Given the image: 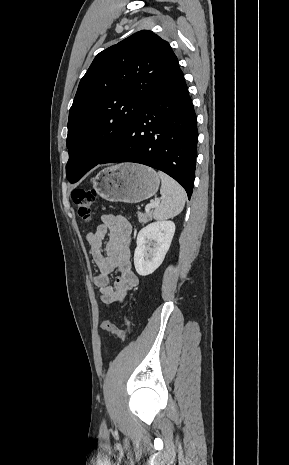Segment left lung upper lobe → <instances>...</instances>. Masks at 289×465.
Instances as JSON below:
<instances>
[{"label": "left lung upper lobe", "mask_w": 289, "mask_h": 465, "mask_svg": "<svg viewBox=\"0 0 289 465\" xmlns=\"http://www.w3.org/2000/svg\"><path fill=\"white\" fill-rule=\"evenodd\" d=\"M178 68L169 43L148 30L95 57L69 111L66 176L70 182L78 181L117 145L144 98Z\"/></svg>", "instance_id": "1"}]
</instances>
